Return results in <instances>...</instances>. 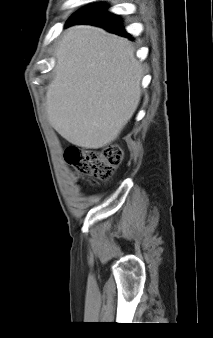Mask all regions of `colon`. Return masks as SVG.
<instances>
[{"mask_svg": "<svg viewBox=\"0 0 213 338\" xmlns=\"http://www.w3.org/2000/svg\"><path fill=\"white\" fill-rule=\"evenodd\" d=\"M65 161L78 173L94 180L106 181L115 173L122 159V149L109 144L97 150L68 147L64 151Z\"/></svg>", "mask_w": 213, "mask_h": 338, "instance_id": "5ec220e1", "label": "colon"}]
</instances>
